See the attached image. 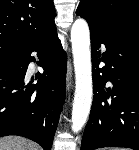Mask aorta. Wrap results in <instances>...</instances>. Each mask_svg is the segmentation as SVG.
<instances>
[{
    "label": "aorta",
    "mask_w": 139,
    "mask_h": 150,
    "mask_svg": "<svg viewBox=\"0 0 139 150\" xmlns=\"http://www.w3.org/2000/svg\"><path fill=\"white\" fill-rule=\"evenodd\" d=\"M75 69V94L72 109V131L79 132L90 113L93 95L90 32L87 22L79 18L71 28Z\"/></svg>",
    "instance_id": "1"
}]
</instances>
